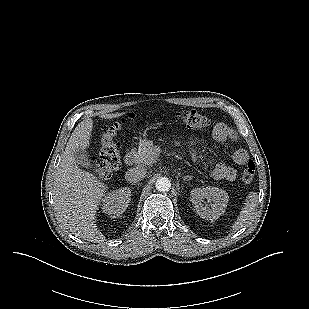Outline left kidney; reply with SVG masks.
Instances as JSON below:
<instances>
[{"label": "left kidney", "mask_w": 309, "mask_h": 309, "mask_svg": "<svg viewBox=\"0 0 309 309\" xmlns=\"http://www.w3.org/2000/svg\"><path fill=\"white\" fill-rule=\"evenodd\" d=\"M190 195L197 214L203 219L215 221L225 212L228 194L217 187L196 188ZM204 199L208 201L210 208L204 206Z\"/></svg>", "instance_id": "obj_1"}]
</instances>
